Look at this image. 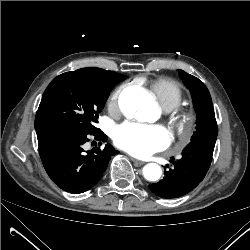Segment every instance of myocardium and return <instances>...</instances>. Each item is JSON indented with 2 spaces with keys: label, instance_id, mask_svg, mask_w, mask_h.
Segmentation results:
<instances>
[{
  "label": "myocardium",
  "instance_id": "f54148a6",
  "mask_svg": "<svg viewBox=\"0 0 250 250\" xmlns=\"http://www.w3.org/2000/svg\"><path fill=\"white\" fill-rule=\"evenodd\" d=\"M196 116L194 112L187 109H175L170 116L172 129L185 144L193 134Z\"/></svg>",
  "mask_w": 250,
  "mask_h": 250
}]
</instances>
